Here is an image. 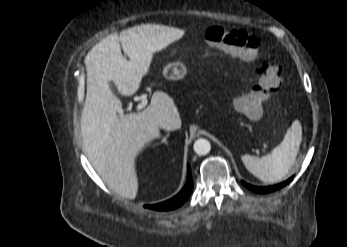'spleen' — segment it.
I'll return each instance as SVG.
<instances>
[{
  "label": "spleen",
  "mask_w": 347,
  "mask_h": 247,
  "mask_svg": "<svg viewBox=\"0 0 347 247\" xmlns=\"http://www.w3.org/2000/svg\"><path fill=\"white\" fill-rule=\"evenodd\" d=\"M302 141V127L295 120L287 130L283 141L272 152L261 158L243 155L242 162L255 177L266 183H274L285 177L295 163Z\"/></svg>",
  "instance_id": "spleen-1"
}]
</instances>
